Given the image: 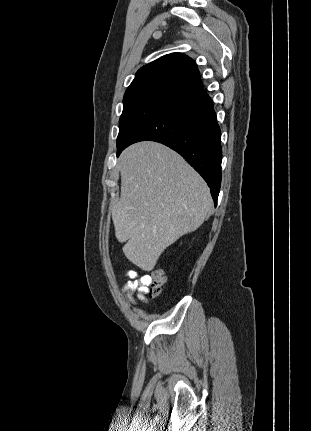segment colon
Instances as JSON below:
<instances>
[{
    "label": "colon",
    "instance_id": "colon-1",
    "mask_svg": "<svg viewBox=\"0 0 311 431\" xmlns=\"http://www.w3.org/2000/svg\"><path fill=\"white\" fill-rule=\"evenodd\" d=\"M150 293L152 295H159L166 283V276L164 272L160 269L153 270L150 275Z\"/></svg>",
    "mask_w": 311,
    "mask_h": 431
}]
</instances>
